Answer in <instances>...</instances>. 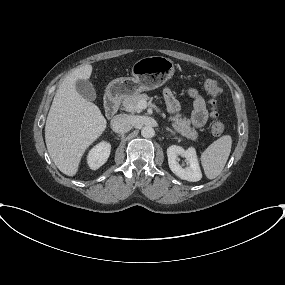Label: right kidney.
Wrapping results in <instances>:
<instances>
[{"mask_svg": "<svg viewBox=\"0 0 285 285\" xmlns=\"http://www.w3.org/2000/svg\"><path fill=\"white\" fill-rule=\"evenodd\" d=\"M111 151V145L108 142H100L94 146L87 156V162L92 170L101 167L108 159Z\"/></svg>", "mask_w": 285, "mask_h": 285, "instance_id": "ca27d5eb", "label": "right kidney"}]
</instances>
